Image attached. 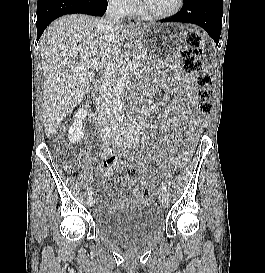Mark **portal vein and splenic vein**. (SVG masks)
I'll list each match as a JSON object with an SVG mask.
<instances>
[{"label":"portal vein and splenic vein","instance_id":"portal-vein-and-splenic-vein-1","mask_svg":"<svg viewBox=\"0 0 265 273\" xmlns=\"http://www.w3.org/2000/svg\"><path fill=\"white\" fill-rule=\"evenodd\" d=\"M137 59H140V56L136 57ZM105 66L104 62L99 61L98 59H91L85 64H82L81 66L72 68V71L79 72L86 69H103Z\"/></svg>","mask_w":265,"mask_h":273}]
</instances>
